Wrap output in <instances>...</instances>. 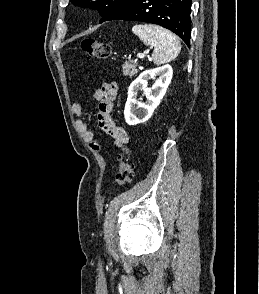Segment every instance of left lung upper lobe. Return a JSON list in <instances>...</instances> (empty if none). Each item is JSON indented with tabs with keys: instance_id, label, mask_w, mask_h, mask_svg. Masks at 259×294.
Segmentation results:
<instances>
[{
	"instance_id": "5c2ea615",
	"label": "left lung upper lobe",
	"mask_w": 259,
	"mask_h": 294,
	"mask_svg": "<svg viewBox=\"0 0 259 294\" xmlns=\"http://www.w3.org/2000/svg\"><path fill=\"white\" fill-rule=\"evenodd\" d=\"M75 6L82 8H91L98 10L102 16L100 23L104 22L105 19L117 10L122 5L126 4L130 0H70Z\"/></svg>"
}]
</instances>
